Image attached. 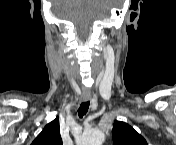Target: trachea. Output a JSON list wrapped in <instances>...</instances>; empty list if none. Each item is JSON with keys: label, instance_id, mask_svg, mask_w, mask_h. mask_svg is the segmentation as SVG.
<instances>
[{"label": "trachea", "instance_id": "trachea-1", "mask_svg": "<svg viewBox=\"0 0 176 145\" xmlns=\"http://www.w3.org/2000/svg\"><path fill=\"white\" fill-rule=\"evenodd\" d=\"M89 105H90V102L89 101H85V102H82L79 109H78V115L80 118H82L84 115H86L88 109H89Z\"/></svg>", "mask_w": 176, "mask_h": 145}]
</instances>
